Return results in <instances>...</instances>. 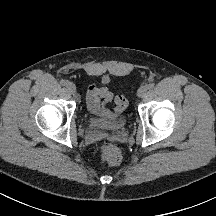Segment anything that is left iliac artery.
<instances>
[{"mask_svg": "<svg viewBox=\"0 0 216 216\" xmlns=\"http://www.w3.org/2000/svg\"><path fill=\"white\" fill-rule=\"evenodd\" d=\"M153 88H154V84L153 83L148 84V89H153Z\"/></svg>", "mask_w": 216, "mask_h": 216, "instance_id": "left-iliac-artery-1", "label": "left iliac artery"}]
</instances>
